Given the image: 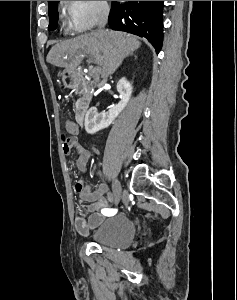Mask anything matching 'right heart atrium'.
Instances as JSON below:
<instances>
[{
  "label": "right heart atrium",
  "mask_w": 237,
  "mask_h": 300,
  "mask_svg": "<svg viewBox=\"0 0 237 300\" xmlns=\"http://www.w3.org/2000/svg\"><path fill=\"white\" fill-rule=\"evenodd\" d=\"M68 29L76 34L104 24L110 15L107 1H62Z\"/></svg>",
  "instance_id": "obj_1"
}]
</instances>
